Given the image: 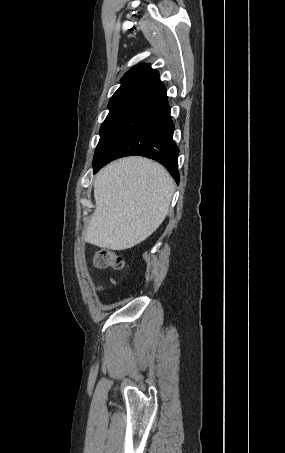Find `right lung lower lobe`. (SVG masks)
Here are the masks:
<instances>
[{"label": "right lung lower lobe", "mask_w": 285, "mask_h": 453, "mask_svg": "<svg viewBox=\"0 0 285 453\" xmlns=\"http://www.w3.org/2000/svg\"><path fill=\"white\" fill-rule=\"evenodd\" d=\"M173 132L166 88L158 76L118 109L95 151L93 173L114 159L140 155L161 163L178 184L179 148Z\"/></svg>", "instance_id": "98d812e1"}]
</instances>
